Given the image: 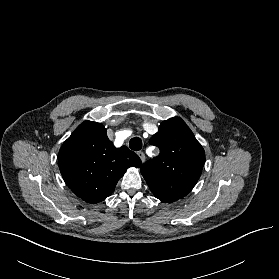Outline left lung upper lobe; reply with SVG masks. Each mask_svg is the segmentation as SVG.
<instances>
[{
    "label": "left lung upper lobe",
    "instance_id": "5c2ea615",
    "mask_svg": "<svg viewBox=\"0 0 279 279\" xmlns=\"http://www.w3.org/2000/svg\"><path fill=\"white\" fill-rule=\"evenodd\" d=\"M160 154L141 167L150 190L162 202H174L186 196L197 183L205 152L185 122L174 117L163 121L150 139Z\"/></svg>",
    "mask_w": 279,
    "mask_h": 279
}]
</instances>
